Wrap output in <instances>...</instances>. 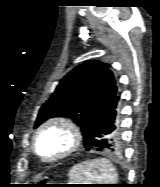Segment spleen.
I'll use <instances>...</instances> for the list:
<instances>
[{
    "instance_id": "obj_1",
    "label": "spleen",
    "mask_w": 160,
    "mask_h": 187,
    "mask_svg": "<svg viewBox=\"0 0 160 187\" xmlns=\"http://www.w3.org/2000/svg\"><path fill=\"white\" fill-rule=\"evenodd\" d=\"M71 184H115L117 173L113 164L99 158L74 165L69 171Z\"/></svg>"
}]
</instances>
